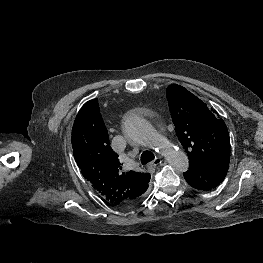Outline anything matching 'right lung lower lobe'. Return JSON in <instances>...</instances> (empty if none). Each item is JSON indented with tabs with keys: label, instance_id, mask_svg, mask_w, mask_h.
Returning <instances> with one entry per match:
<instances>
[{
	"label": "right lung lower lobe",
	"instance_id": "98d812e1",
	"mask_svg": "<svg viewBox=\"0 0 263 263\" xmlns=\"http://www.w3.org/2000/svg\"><path fill=\"white\" fill-rule=\"evenodd\" d=\"M147 190V189H146ZM144 190L143 192H141L138 196H136L134 199L130 200L129 202L126 203V205H124L123 207H128L131 205L136 204L138 201H140V199L143 197V193L146 191Z\"/></svg>",
	"mask_w": 263,
	"mask_h": 263
}]
</instances>
